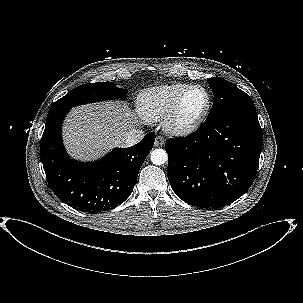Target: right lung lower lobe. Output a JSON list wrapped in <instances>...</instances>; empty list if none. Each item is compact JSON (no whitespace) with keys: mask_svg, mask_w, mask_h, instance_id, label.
Returning a JSON list of instances; mask_svg holds the SVG:
<instances>
[{"mask_svg":"<svg viewBox=\"0 0 303 303\" xmlns=\"http://www.w3.org/2000/svg\"><path fill=\"white\" fill-rule=\"evenodd\" d=\"M69 110L49 111L40 141V157L49 187L63 202L83 212L111 209L131 195L155 134L148 133L132 147L115 148L99 161L78 162L67 155L62 143L61 126Z\"/></svg>","mask_w":303,"mask_h":303,"instance_id":"right-lung-lower-lobe-1","label":"right lung lower lobe"}]
</instances>
